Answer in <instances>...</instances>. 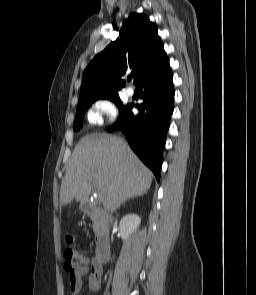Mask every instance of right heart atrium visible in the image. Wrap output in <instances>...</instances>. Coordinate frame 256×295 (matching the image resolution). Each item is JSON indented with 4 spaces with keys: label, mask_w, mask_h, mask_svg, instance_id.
<instances>
[{
    "label": "right heart atrium",
    "mask_w": 256,
    "mask_h": 295,
    "mask_svg": "<svg viewBox=\"0 0 256 295\" xmlns=\"http://www.w3.org/2000/svg\"><path fill=\"white\" fill-rule=\"evenodd\" d=\"M118 117L117 106L109 99H99L92 107V118L95 122L114 123Z\"/></svg>",
    "instance_id": "obj_1"
}]
</instances>
